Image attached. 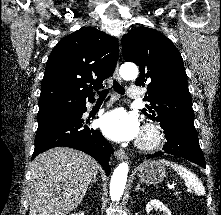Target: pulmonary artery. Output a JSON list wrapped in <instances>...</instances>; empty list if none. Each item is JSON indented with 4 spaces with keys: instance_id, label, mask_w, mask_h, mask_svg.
<instances>
[{
    "instance_id": "1",
    "label": "pulmonary artery",
    "mask_w": 221,
    "mask_h": 215,
    "mask_svg": "<svg viewBox=\"0 0 221 215\" xmlns=\"http://www.w3.org/2000/svg\"><path fill=\"white\" fill-rule=\"evenodd\" d=\"M128 96L131 99H139L142 96V92L138 87L132 86L128 89Z\"/></svg>"
}]
</instances>
